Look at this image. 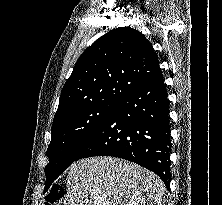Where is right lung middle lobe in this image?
Returning <instances> with one entry per match:
<instances>
[{
  "instance_id": "obj_1",
  "label": "right lung middle lobe",
  "mask_w": 222,
  "mask_h": 205,
  "mask_svg": "<svg viewBox=\"0 0 222 205\" xmlns=\"http://www.w3.org/2000/svg\"><path fill=\"white\" fill-rule=\"evenodd\" d=\"M120 101H107L86 107L57 122L51 129L45 167L50 185L77 158L78 153Z\"/></svg>"
}]
</instances>
